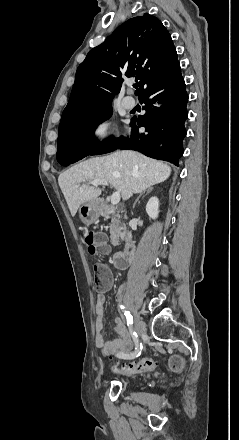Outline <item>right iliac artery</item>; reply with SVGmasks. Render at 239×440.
I'll use <instances>...</instances> for the list:
<instances>
[{"label":"right iliac artery","mask_w":239,"mask_h":440,"mask_svg":"<svg viewBox=\"0 0 239 440\" xmlns=\"http://www.w3.org/2000/svg\"><path fill=\"white\" fill-rule=\"evenodd\" d=\"M120 308L124 311V314L127 317V325L129 327V331L131 333V336H132L134 342L136 343V347H135V350L133 352H130V353H120V354L117 355V357L124 358V359H134V358L138 357L141 354L142 345H140L138 343L137 334L133 330V318L130 315V312L125 310V307L123 305H121Z\"/></svg>","instance_id":"1"}]
</instances>
